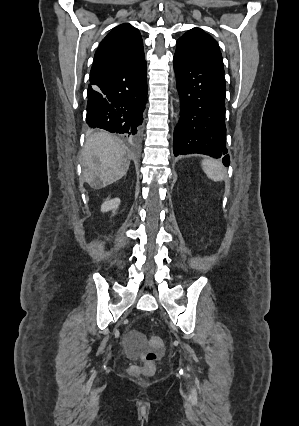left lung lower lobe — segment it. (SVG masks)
<instances>
[{
	"instance_id": "obj_1",
	"label": "left lung lower lobe",
	"mask_w": 299,
	"mask_h": 426,
	"mask_svg": "<svg viewBox=\"0 0 299 426\" xmlns=\"http://www.w3.org/2000/svg\"><path fill=\"white\" fill-rule=\"evenodd\" d=\"M176 83L180 95V120L174 132L175 156L189 153L230 159L226 149L225 80L202 61L176 49Z\"/></svg>"
}]
</instances>
